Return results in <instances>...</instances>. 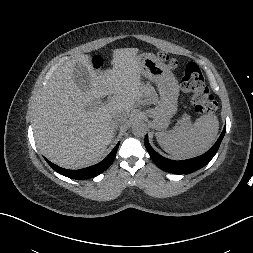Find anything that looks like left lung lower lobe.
I'll return each mask as SVG.
<instances>
[{
	"mask_svg": "<svg viewBox=\"0 0 253 253\" xmlns=\"http://www.w3.org/2000/svg\"><path fill=\"white\" fill-rule=\"evenodd\" d=\"M225 131H226V125L220 137L216 141V143L206 153H204L203 155L199 157L183 160V161L170 160L158 154L150 146L147 135L144 139V143H145V147L148 153L150 154V157L159 168H161L164 171L174 173V174H189L204 167L206 164H208L211 161V159L215 156L216 152L218 151L221 141L225 135Z\"/></svg>",
	"mask_w": 253,
	"mask_h": 253,
	"instance_id": "0a47b994",
	"label": "left lung lower lobe"
}]
</instances>
